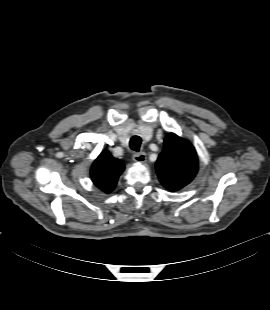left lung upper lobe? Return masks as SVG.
Masks as SVG:
<instances>
[{"mask_svg": "<svg viewBox=\"0 0 270 310\" xmlns=\"http://www.w3.org/2000/svg\"><path fill=\"white\" fill-rule=\"evenodd\" d=\"M160 182L171 191L189 184L198 170V157L191 143L174 133L167 135L164 150L156 162Z\"/></svg>", "mask_w": 270, "mask_h": 310, "instance_id": "left-lung-upper-lobe-1", "label": "left lung upper lobe"}]
</instances>
